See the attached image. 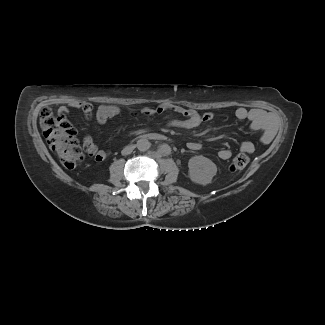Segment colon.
<instances>
[{
  "label": "colon",
  "mask_w": 325,
  "mask_h": 325,
  "mask_svg": "<svg viewBox=\"0 0 325 325\" xmlns=\"http://www.w3.org/2000/svg\"><path fill=\"white\" fill-rule=\"evenodd\" d=\"M40 123L47 143L56 153L62 165L68 169L76 167L84 157L77 138L66 134L49 108L42 109ZM248 164L249 157L245 153H241L232 160L230 170H243Z\"/></svg>",
  "instance_id": "1"
}]
</instances>
